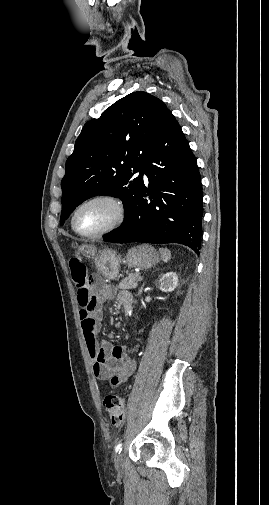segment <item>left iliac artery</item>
Segmentation results:
<instances>
[{
	"label": "left iliac artery",
	"mask_w": 269,
	"mask_h": 505,
	"mask_svg": "<svg viewBox=\"0 0 269 505\" xmlns=\"http://www.w3.org/2000/svg\"><path fill=\"white\" fill-rule=\"evenodd\" d=\"M121 450H122V443H119V444L116 446L115 451H116V453H120V452H121Z\"/></svg>",
	"instance_id": "left-iliac-artery-1"
}]
</instances>
